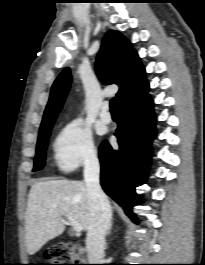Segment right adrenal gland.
I'll return each mask as SVG.
<instances>
[{
    "label": "right adrenal gland",
    "mask_w": 205,
    "mask_h": 265,
    "mask_svg": "<svg viewBox=\"0 0 205 265\" xmlns=\"http://www.w3.org/2000/svg\"><path fill=\"white\" fill-rule=\"evenodd\" d=\"M111 228H112V223L110 224V226H109V228H108V230H107L106 235H109V234H110V232H111Z\"/></svg>",
    "instance_id": "right-adrenal-gland-1"
}]
</instances>
